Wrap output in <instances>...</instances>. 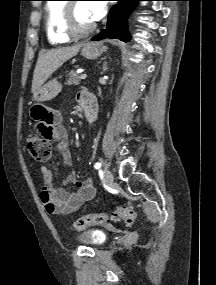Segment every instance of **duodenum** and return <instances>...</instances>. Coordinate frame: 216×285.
<instances>
[{
    "mask_svg": "<svg viewBox=\"0 0 216 285\" xmlns=\"http://www.w3.org/2000/svg\"><path fill=\"white\" fill-rule=\"evenodd\" d=\"M83 114L87 121L92 122L97 116V107L94 103H87L83 106Z\"/></svg>",
    "mask_w": 216,
    "mask_h": 285,
    "instance_id": "duodenum-1",
    "label": "duodenum"
}]
</instances>
